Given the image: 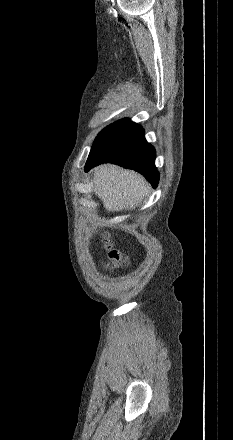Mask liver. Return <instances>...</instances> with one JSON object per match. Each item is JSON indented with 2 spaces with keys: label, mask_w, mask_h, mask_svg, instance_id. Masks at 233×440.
<instances>
[{
  "label": "liver",
  "mask_w": 233,
  "mask_h": 440,
  "mask_svg": "<svg viewBox=\"0 0 233 440\" xmlns=\"http://www.w3.org/2000/svg\"><path fill=\"white\" fill-rule=\"evenodd\" d=\"M93 182L94 193L108 212L135 209L150 189L138 173L109 164L95 168Z\"/></svg>",
  "instance_id": "1"
}]
</instances>
